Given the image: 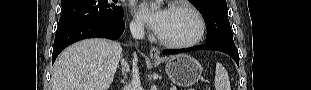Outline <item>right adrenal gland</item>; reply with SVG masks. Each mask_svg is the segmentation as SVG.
<instances>
[{"label": "right adrenal gland", "instance_id": "2a0ac1e0", "mask_svg": "<svg viewBox=\"0 0 311 90\" xmlns=\"http://www.w3.org/2000/svg\"><path fill=\"white\" fill-rule=\"evenodd\" d=\"M121 65H122V71H123V73H124V72H127V70H128L127 64H126L125 62H121ZM125 78H126V76H125ZM125 78L122 79L121 82L124 83V82H125Z\"/></svg>", "mask_w": 311, "mask_h": 90}]
</instances>
